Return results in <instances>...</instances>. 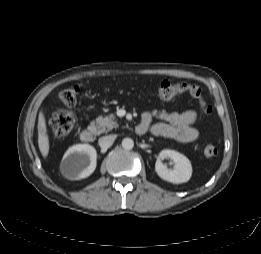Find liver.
Listing matches in <instances>:
<instances>
[{
	"mask_svg": "<svg viewBox=\"0 0 261 254\" xmlns=\"http://www.w3.org/2000/svg\"><path fill=\"white\" fill-rule=\"evenodd\" d=\"M46 123L43 113L38 117V146L43 157H47L49 153V139L46 134Z\"/></svg>",
	"mask_w": 261,
	"mask_h": 254,
	"instance_id": "liver-1",
	"label": "liver"
}]
</instances>
